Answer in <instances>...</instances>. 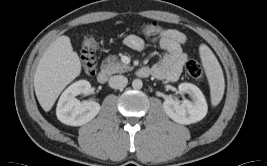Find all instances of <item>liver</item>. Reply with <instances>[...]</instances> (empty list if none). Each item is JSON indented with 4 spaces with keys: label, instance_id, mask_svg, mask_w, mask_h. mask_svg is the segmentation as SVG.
<instances>
[{
    "label": "liver",
    "instance_id": "1",
    "mask_svg": "<svg viewBox=\"0 0 267 166\" xmlns=\"http://www.w3.org/2000/svg\"><path fill=\"white\" fill-rule=\"evenodd\" d=\"M81 72L80 58L70 38L60 36L44 52L35 75L34 89L40 106L48 112L63 89Z\"/></svg>",
    "mask_w": 267,
    "mask_h": 166
}]
</instances>
